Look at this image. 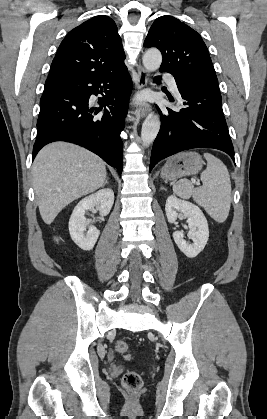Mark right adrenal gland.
I'll list each match as a JSON object with an SVG mask.
<instances>
[{
    "instance_id": "2a0ac1e0",
    "label": "right adrenal gland",
    "mask_w": 267,
    "mask_h": 419,
    "mask_svg": "<svg viewBox=\"0 0 267 419\" xmlns=\"http://www.w3.org/2000/svg\"><path fill=\"white\" fill-rule=\"evenodd\" d=\"M108 180H109V178L107 177V179L105 180L103 186H105L106 184H108Z\"/></svg>"
}]
</instances>
